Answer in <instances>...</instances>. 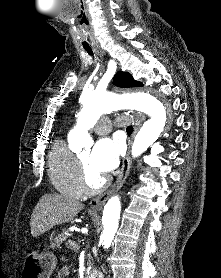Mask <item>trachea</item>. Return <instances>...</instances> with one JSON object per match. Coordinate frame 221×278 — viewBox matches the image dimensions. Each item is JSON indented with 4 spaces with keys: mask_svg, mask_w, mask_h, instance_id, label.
<instances>
[{
    "mask_svg": "<svg viewBox=\"0 0 221 278\" xmlns=\"http://www.w3.org/2000/svg\"><path fill=\"white\" fill-rule=\"evenodd\" d=\"M85 51L92 57L94 58V55H93V51L91 48H85ZM127 133L128 134H131L133 132V127L132 126H128L127 129H126Z\"/></svg>",
    "mask_w": 221,
    "mask_h": 278,
    "instance_id": "3493384b",
    "label": "trachea"
}]
</instances>
